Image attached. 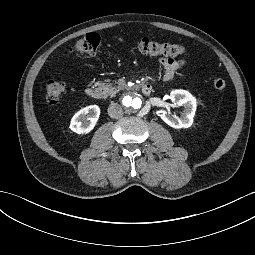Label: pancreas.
Returning <instances> with one entry per match:
<instances>
[{
	"label": "pancreas",
	"mask_w": 255,
	"mask_h": 255,
	"mask_svg": "<svg viewBox=\"0 0 255 255\" xmlns=\"http://www.w3.org/2000/svg\"><path fill=\"white\" fill-rule=\"evenodd\" d=\"M96 86L103 92L104 96H115L116 93L124 89L121 86L116 87L112 83H105L101 81L97 82Z\"/></svg>",
	"instance_id": "1"
}]
</instances>
